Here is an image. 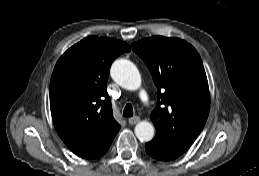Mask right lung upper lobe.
Returning <instances> with one entry per match:
<instances>
[{
  "instance_id": "cb5924a9",
  "label": "right lung upper lobe",
  "mask_w": 259,
  "mask_h": 176,
  "mask_svg": "<svg viewBox=\"0 0 259 176\" xmlns=\"http://www.w3.org/2000/svg\"><path fill=\"white\" fill-rule=\"evenodd\" d=\"M129 50L120 40L89 36L69 48L54 68L50 82L53 123L64 143L82 158L101 156L120 129L106 84L113 60Z\"/></svg>"
}]
</instances>
